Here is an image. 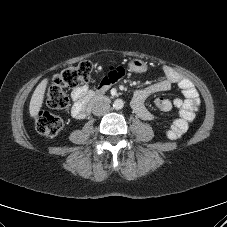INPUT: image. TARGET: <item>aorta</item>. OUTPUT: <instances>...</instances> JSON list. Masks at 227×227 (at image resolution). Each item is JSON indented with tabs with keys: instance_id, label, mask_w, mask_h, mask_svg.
Segmentation results:
<instances>
[{
	"instance_id": "obj_1",
	"label": "aorta",
	"mask_w": 227,
	"mask_h": 227,
	"mask_svg": "<svg viewBox=\"0 0 227 227\" xmlns=\"http://www.w3.org/2000/svg\"><path fill=\"white\" fill-rule=\"evenodd\" d=\"M113 107L116 110L122 109L124 107V102L122 99H116L113 103Z\"/></svg>"
}]
</instances>
